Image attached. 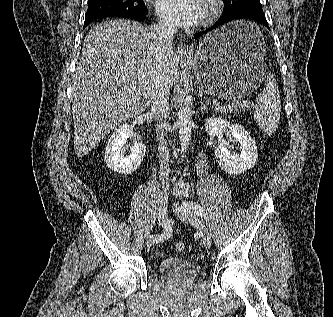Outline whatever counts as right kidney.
I'll return each mask as SVG.
<instances>
[{
	"instance_id": "ca27d5eb",
	"label": "right kidney",
	"mask_w": 333,
	"mask_h": 317,
	"mask_svg": "<svg viewBox=\"0 0 333 317\" xmlns=\"http://www.w3.org/2000/svg\"><path fill=\"white\" fill-rule=\"evenodd\" d=\"M133 135V126L129 124L120 125L111 135L105 149V162L109 169L124 175L135 172L143 161L146 147L136 144L132 153L125 155V143Z\"/></svg>"
}]
</instances>
